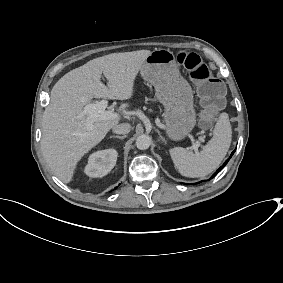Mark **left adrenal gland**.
<instances>
[{
    "label": "left adrenal gland",
    "mask_w": 283,
    "mask_h": 283,
    "mask_svg": "<svg viewBox=\"0 0 283 283\" xmlns=\"http://www.w3.org/2000/svg\"><path fill=\"white\" fill-rule=\"evenodd\" d=\"M155 131H156L157 134L159 135L161 142H163V143L165 144V140L162 138V136H161L159 130H158V129H155Z\"/></svg>",
    "instance_id": "obj_1"
}]
</instances>
